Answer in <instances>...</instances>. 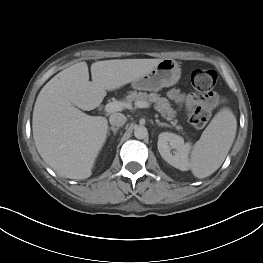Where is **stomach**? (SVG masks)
Segmentation results:
<instances>
[{"label":"stomach","mask_w":263,"mask_h":263,"mask_svg":"<svg viewBox=\"0 0 263 263\" xmlns=\"http://www.w3.org/2000/svg\"><path fill=\"white\" fill-rule=\"evenodd\" d=\"M181 77L178 63L171 58L162 59L152 70L132 82L136 90L159 91L175 85Z\"/></svg>","instance_id":"1"}]
</instances>
